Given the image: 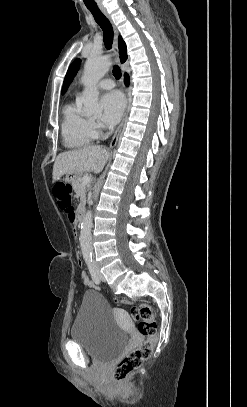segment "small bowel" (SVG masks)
<instances>
[{
    "label": "small bowel",
    "mask_w": 247,
    "mask_h": 407,
    "mask_svg": "<svg viewBox=\"0 0 247 407\" xmlns=\"http://www.w3.org/2000/svg\"><path fill=\"white\" fill-rule=\"evenodd\" d=\"M67 218L71 223H75L76 222L75 212L73 211L70 215H67ZM81 277L86 286H88V287L93 286L94 283L90 280V278L88 277L86 272H82Z\"/></svg>",
    "instance_id": "obj_1"
}]
</instances>
